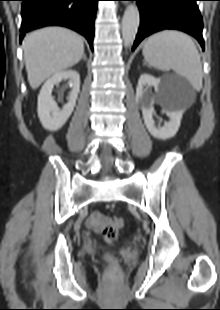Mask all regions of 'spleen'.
<instances>
[{
  "mask_svg": "<svg viewBox=\"0 0 220 310\" xmlns=\"http://www.w3.org/2000/svg\"><path fill=\"white\" fill-rule=\"evenodd\" d=\"M143 56L150 66L161 71L173 70L185 77L195 90L202 88L200 55L187 34L175 30L155 33L146 40Z\"/></svg>",
  "mask_w": 220,
  "mask_h": 310,
  "instance_id": "obj_1",
  "label": "spleen"
}]
</instances>
